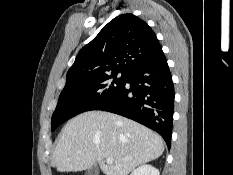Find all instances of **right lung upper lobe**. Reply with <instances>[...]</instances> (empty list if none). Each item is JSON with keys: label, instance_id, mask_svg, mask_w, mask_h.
<instances>
[{"label": "right lung upper lobe", "instance_id": "cb5924a9", "mask_svg": "<svg viewBox=\"0 0 233 175\" xmlns=\"http://www.w3.org/2000/svg\"><path fill=\"white\" fill-rule=\"evenodd\" d=\"M163 53L146 22L133 14L117 16L76 56L66 82L110 72L129 73Z\"/></svg>", "mask_w": 233, "mask_h": 175}]
</instances>
